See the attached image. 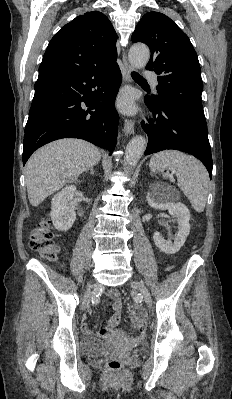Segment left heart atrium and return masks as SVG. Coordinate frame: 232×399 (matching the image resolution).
Here are the masks:
<instances>
[{"mask_svg":"<svg viewBox=\"0 0 232 399\" xmlns=\"http://www.w3.org/2000/svg\"><path fill=\"white\" fill-rule=\"evenodd\" d=\"M120 109L126 113H132L135 109L133 97L130 93H124L120 98Z\"/></svg>","mask_w":232,"mask_h":399,"instance_id":"obj_1","label":"left heart atrium"}]
</instances>
